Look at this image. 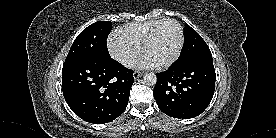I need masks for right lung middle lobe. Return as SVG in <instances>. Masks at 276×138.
<instances>
[{
    "label": "right lung middle lobe",
    "instance_id": "1",
    "mask_svg": "<svg viewBox=\"0 0 276 138\" xmlns=\"http://www.w3.org/2000/svg\"><path fill=\"white\" fill-rule=\"evenodd\" d=\"M111 28L110 21H98L85 28L73 42L66 60L81 56L110 57L106 40Z\"/></svg>",
    "mask_w": 276,
    "mask_h": 138
}]
</instances>
